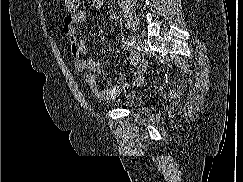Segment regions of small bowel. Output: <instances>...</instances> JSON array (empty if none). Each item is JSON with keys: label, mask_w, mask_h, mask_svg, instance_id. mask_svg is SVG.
<instances>
[{"label": "small bowel", "mask_w": 243, "mask_h": 182, "mask_svg": "<svg viewBox=\"0 0 243 182\" xmlns=\"http://www.w3.org/2000/svg\"><path fill=\"white\" fill-rule=\"evenodd\" d=\"M91 6L95 8L101 7V0H92ZM89 8V5H84L75 13L66 16L62 30L70 40L72 62L82 82L97 98L101 100L114 99L124 88L142 82L146 63L139 54H132L129 58V67L136 68L133 79L128 81L126 71H120L117 73L114 86L109 88L102 87L96 79V74L101 71V64L87 56L86 43L77 33V27L87 18Z\"/></svg>", "instance_id": "1"}]
</instances>
